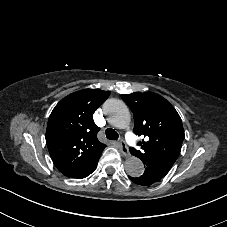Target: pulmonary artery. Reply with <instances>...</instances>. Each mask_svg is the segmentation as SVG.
<instances>
[{"label":"pulmonary artery","mask_w":227,"mask_h":227,"mask_svg":"<svg viewBox=\"0 0 227 227\" xmlns=\"http://www.w3.org/2000/svg\"><path fill=\"white\" fill-rule=\"evenodd\" d=\"M125 140L130 148H135L137 146L136 135L132 130H127L125 132Z\"/></svg>","instance_id":"1"}]
</instances>
